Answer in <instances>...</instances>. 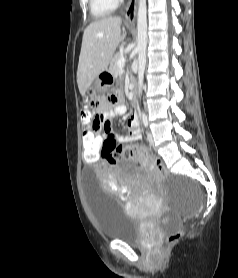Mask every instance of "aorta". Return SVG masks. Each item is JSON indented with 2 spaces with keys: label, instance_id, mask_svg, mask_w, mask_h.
Returning <instances> with one entry per match:
<instances>
[{
  "label": "aorta",
  "instance_id": "762f6f07",
  "mask_svg": "<svg viewBox=\"0 0 238 278\" xmlns=\"http://www.w3.org/2000/svg\"><path fill=\"white\" fill-rule=\"evenodd\" d=\"M147 47V4L146 0H139L137 15V52H138V89L142 94L144 72L146 66Z\"/></svg>",
  "mask_w": 238,
  "mask_h": 278
}]
</instances>
